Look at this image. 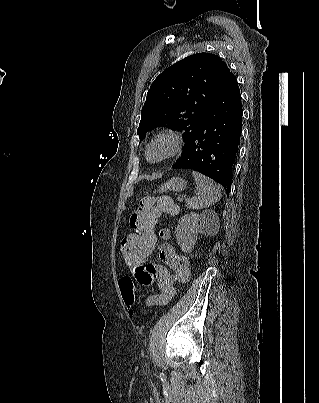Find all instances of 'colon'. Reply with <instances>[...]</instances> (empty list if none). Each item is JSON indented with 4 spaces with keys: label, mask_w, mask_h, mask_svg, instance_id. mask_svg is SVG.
Here are the masks:
<instances>
[{
    "label": "colon",
    "mask_w": 319,
    "mask_h": 403,
    "mask_svg": "<svg viewBox=\"0 0 319 403\" xmlns=\"http://www.w3.org/2000/svg\"><path fill=\"white\" fill-rule=\"evenodd\" d=\"M175 210L173 201L165 195L159 197H145L141 200L139 207L132 213L129 224L132 229L137 231L132 232L131 236L124 239L120 246L122 261L125 264V270L136 268L138 263L144 266H149L152 262L153 247H156V230H158L157 218L162 212L171 213ZM140 274L142 272L141 270ZM131 273V272H130ZM121 276L119 279V289L123 295V302L129 305V315L134 319H139L138 310L134 304L138 300V277Z\"/></svg>",
    "instance_id": "1"
}]
</instances>
